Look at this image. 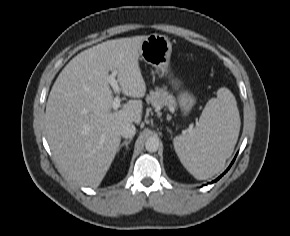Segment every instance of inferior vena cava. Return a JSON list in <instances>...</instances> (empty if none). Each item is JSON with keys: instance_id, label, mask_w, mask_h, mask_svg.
<instances>
[{"instance_id": "obj_1", "label": "inferior vena cava", "mask_w": 290, "mask_h": 236, "mask_svg": "<svg viewBox=\"0 0 290 236\" xmlns=\"http://www.w3.org/2000/svg\"><path fill=\"white\" fill-rule=\"evenodd\" d=\"M136 133V128L132 123H126L120 128V135L123 138H132Z\"/></svg>"}]
</instances>
